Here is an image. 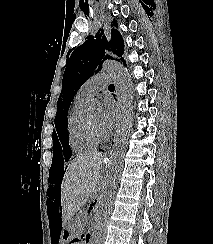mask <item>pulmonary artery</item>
<instances>
[{
    "label": "pulmonary artery",
    "instance_id": "1",
    "mask_svg": "<svg viewBox=\"0 0 213 244\" xmlns=\"http://www.w3.org/2000/svg\"><path fill=\"white\" fill-rule=\"evenodd\" d=\"M111 77L107 73H98L89 78L79 89L78 95L90 99L102 88L109 85Z\"/></svg>",
    "mask_w": 213,
    "mask_h": 244
}]
</instances>
